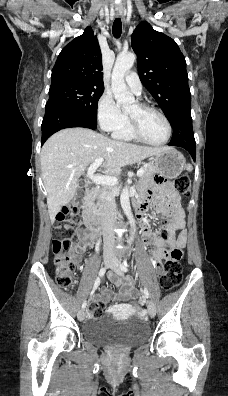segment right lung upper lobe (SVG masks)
Segmentation results:
<instances>
[{"label":"right lung upper lobe","instance_id":"right-lung-upper-lobe-1","mask_svg":"<svg viewBox=\"0 0 228 396\" xmlns=\"http://www.w3.org/2000/svg\"><path fill=\"white\" fill-rule=\"evenodd\" d=\"M102 56L97 36L87 27L60 52L53 67L51 86L76 83L104 87Z\"/></svg>","mask_w":228,"mask_h":396}]
</instances>
